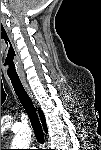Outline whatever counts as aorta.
<instances>
[{
    "instance_id": "obj_1",
    "label": "aorta",
    "mask_w": 101,
    "mask_h": 150,
    "mask_svg": "<svg viewBox=\"0 0 101 150\" xmlns=\"http://www.w3.org/2000/svg\"><path fill=\"white\" fill-rule=\"evenodd\" d=\"M32 132L29 128L15 135L12 141L13 149H27L31 142Z\"/></svg>"
}]
</instances>
